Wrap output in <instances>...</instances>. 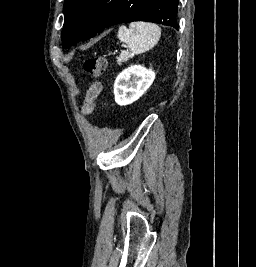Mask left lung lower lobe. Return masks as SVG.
<instances>
[{"mask_svg":"<svg viewBox=\"0 0 256 267\" xmlns=\"http://www.w3.org/2000/svg\"><path fill=\"white\" fill-rule=\"evenodd\" d=\"M178 1L179 0H175V4H176V17H177V11H178ZM176 24L178 25L177 23V19H176ZM178 30V29H177Z\"/></svg>","mask_w":256,"mask_h":267,"instance_id":"left-lung-lower-lobe-1","label":"left lung lower lobe"}]
</instances>
